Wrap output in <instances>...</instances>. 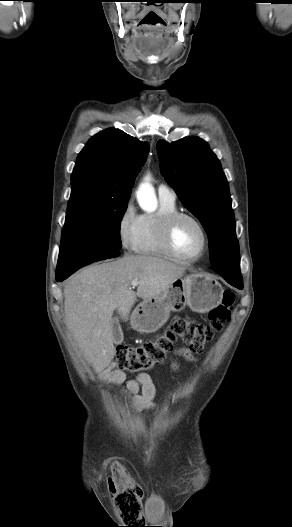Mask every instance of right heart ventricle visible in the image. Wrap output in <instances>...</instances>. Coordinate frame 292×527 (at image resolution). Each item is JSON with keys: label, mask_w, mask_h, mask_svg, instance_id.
<instances>
[{"label": "right heart ventricle", "mask_w": 292, "mask_h": 527, "mask_svg": "<svg viewBox=\"0 0 292 527\" xmlns=\"http://www.w3.org/2000/svg\"><path fill=\"white\" fill-rule=\"evenodd\" d=\"M159 202L156 212L140 215L133 250L138 254L169 258L160 242V225L166 215L178 208L175 199L160 196Z\"/></svg>", "instance_id": "1"}]
</instances>
